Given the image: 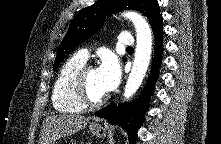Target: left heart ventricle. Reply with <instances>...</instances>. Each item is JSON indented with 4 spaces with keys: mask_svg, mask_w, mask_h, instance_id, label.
Listing matches in <instances>:
<instances>
[{
    "mask_svg": "<svg viewBox=\"0 0 221 144\" xmlns=\"http://www.w3.org/2000/svg\"><path fill=\"white\" fill-rule=\"evenodd\" d=\"M87 84L89 93L93 98H99L106 94V92L100 86L97 69H93L89 72Z\"/></svg>",
    "mask_w": 221,
    "mask_h": 144,
    "instance_id": "1",
    "label": "left heart ventricle"
}]
</instances>
